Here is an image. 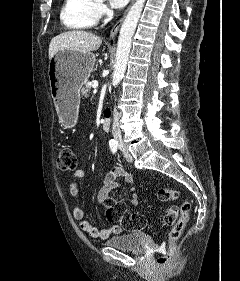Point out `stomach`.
Segmentation results:
<instances>
[{
	"mask_svg": "<svg viewBox=\"0 0 240 281\" xmlns=\"http://www.w3.org/2000/svg\"><path fill=\"white\" fill-rule=\"evenodd\" d=\"M92 52L59 51L49 60L48 78L51 97L65 126L75 125L80 104V90L93 70Z\"/></svg>",
	"mask_w": 240,
	"mask_h": 281,
	"instance_id": "obj_1",
	"label": "stomach"
}]
</instances>
